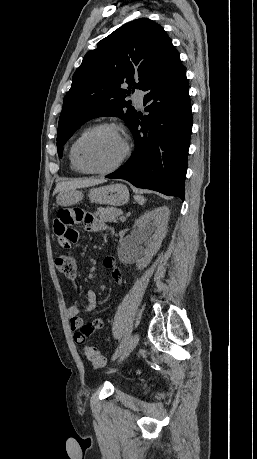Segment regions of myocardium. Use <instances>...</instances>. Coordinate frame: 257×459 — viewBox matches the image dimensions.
<instances>
[{
    "instance_id": "myocardium-1",
    "label": "myocardium",
    "mask_w": 257,
    "mask_h": 459,
    "mask_svg": "<svg viewBox=\"0 0 257 459\" xmlns=\"http://www.w3.org/2000/svg\"><path fill=\"white\" fill-rule=\"evenodd\" d=\"M102 129H110V130H113V131L117 132L123 139L124 151H123L122 155L120 156V158L112 166L107 167V168H91V167L87 166L82 161V159L80 157V146L83 143V141L85 139H87L90 135H92L93 133H95V132H97L99 130H102ZM130 151H131L130 144L128 142L127 136H126L123 128L121 126H119L118 124H115V123L103 122V123H99V124H96V125L90 127L83 134H81L79 136V138L74 143L73 156H74V160H75L77 166L83 172L90 173V174H109V173H112V172L116 171L117 169H119L123 165V163L129 157Z\"/></svg>"
}]
</instances>
